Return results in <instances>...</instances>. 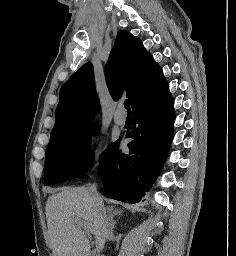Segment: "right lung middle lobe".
<instances>
[{"label": "right lung middle lobe", "mask_w": 236, "mask_h": 256, "mask_svg": "<svg viewBox=\"0 0 236 256\" xmlns=\"http://www.w3.org/2000/svg\"><path fill=\"white\" fill-rule=\"evenodd\" d=\"M95 128V124H84L66 135L50 140L45 156L44 185L66 181L93 169L94 153L90 138ZM111 147L100 156L99 163L106 159Z\"/></svg>", "instance_id": "dd1d6c3e"}]
</instances>
